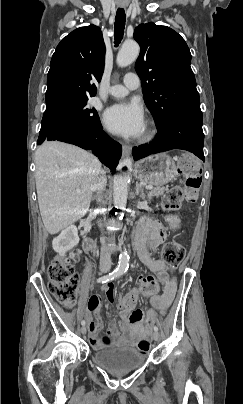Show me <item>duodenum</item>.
Masks as SVG:
<instances>
[{
	"label": "duodenum",
	"mask_w": 243,
	"mask_h": 404,
	"mask_svg": "<svg viewBox=\"0 0 243 404\" xmlns=\"http://www.w3.org/2000/svg\"><path fill=\"white\" fill-rule=\"evenodd\" d=\"M84 250L90 252L92 248V242L89 238H85L83 242Z\"/></svg>",
	"instance_id": "1"
}]
</instances>
